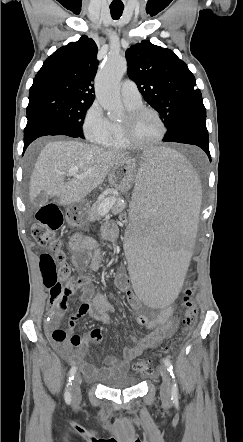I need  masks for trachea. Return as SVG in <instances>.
Masks as SVG:
<instances>
[{"mask_svg":"<svg viewBox=\"0 0 243 442\" xmlns=\"http://www.w3.org/2000/svg\"><path fill=\"white\" fill-rule=\"evenodd\" d=\"M124 6H110L111 16L114 20H118L123 13Z\"/></svg>","mask_w":243,"mask_h":442,"instance_id":"3493384b","label":"trachea"}]
</instances>
